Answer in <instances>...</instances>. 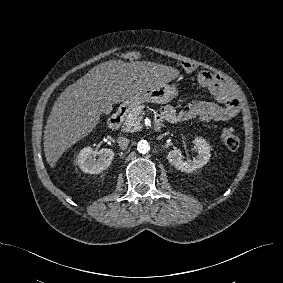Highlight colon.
<instances>
[{"label":"colon","instance_id":"5ec220e1","mask_svg":"<svg viewBox=\"0 0 283 283\" xmlns=\"http://www.w3.org/2000/svg\"><path fill=\"white\" fill-rule=\"evenodd\" d=\"M184 68L186 69L185 64H184ZM221 139L224 145L231 151L237 150L240 146L239 138L229 128L222 129Z\"/></svg>","mask_w":283,"mask_h":283}]
</instances>
